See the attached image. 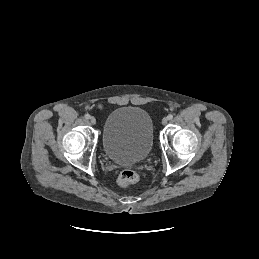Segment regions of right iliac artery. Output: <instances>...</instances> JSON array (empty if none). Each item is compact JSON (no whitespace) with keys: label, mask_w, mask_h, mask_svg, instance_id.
Instances as JSON below:
<instances>
[{"label":"right iliac artery","mask_w":259,"mask_h":259,"mask_svg":"<svg viewBox=\"0 0 259 259\" xmlns=\"http://www.w3.org/2000/svg\"><path fill=\"white\" fill-rule=\"evenodd\" d=\"M85 118L86 119H89L90 118V115L87 113V114H85Z\"/></svg>","instance_id":"1"}]
</instances>
